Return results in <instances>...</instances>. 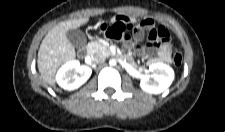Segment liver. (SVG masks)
<instances>
[{
    "mask_svg": "<svg viewBox=\"0 0 225 132\" xmlns=\"http://www.w3.org/2000/svg\"><path fill=\"white\" fill-rule=\"evenodd\" d=\"M88 21L89 17L67 20L48 31L41 42L37 58L40 76L46 84L55 86V76L59 67L75 59V48L69 42L66 32L70 29H77Z\"/></svg>",
    "mask_w": 225,
    "mask_h": 132,
    "instance_id": "liver-1",
    "label": "liver"
}]
</instances>
